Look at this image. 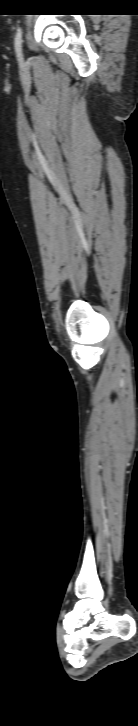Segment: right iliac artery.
Segmentation results:
<instances>
[{"label":"right iliac artery","instance_id":"right-iliac-artery-1","mask_svg":"<svg viewBox=\"0 0 138 726\" xmlns=\"http://www.w3.org/2000/svg\"><path fill=\"white\" fill-rule=\"evenodd\" d=\"M21 43H22V31H21V29H19L15 36V51H16L19 62H22V60H23L22 51H21Z\"/></svg>","mask_w":138,"mask_h":726}]
</instances>
